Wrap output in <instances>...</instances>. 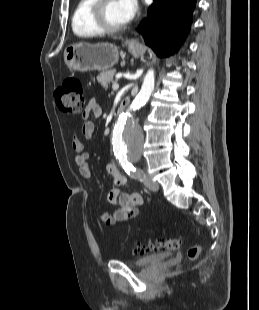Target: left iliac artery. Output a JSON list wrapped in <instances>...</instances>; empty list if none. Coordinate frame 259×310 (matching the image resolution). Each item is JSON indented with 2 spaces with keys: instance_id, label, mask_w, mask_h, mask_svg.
<instances>
[{
  "instance_id": "left-iliac-artery-1",
  "label": "left iliac artery",
  "mask_w": 259,
  "mask_h": 310,
  "mask_svg": "<svg viewBox=\"0 0 259 310\" xmlns=\"http://www.w3.org/2000/svg\"><path fill=\"white\" fill-rule=\"evenodd\" d=\"M121 165L124 168V170L128 173L131 174L133 176V178H138L141 179V177H143V172L140 170H137L131 163H129L128 161L126 162H122L121 161Z\"/></svg>"
}]
</instances>
